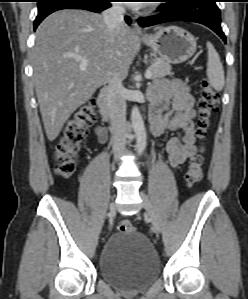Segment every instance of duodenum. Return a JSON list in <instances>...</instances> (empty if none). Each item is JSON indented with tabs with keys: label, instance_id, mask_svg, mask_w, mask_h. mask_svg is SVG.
<instances>
[{
	"label": "duodenum",
	"instance_id": "410a0bca",
	"mask_svg": "<svg viewBox=\"0 0 248 299\" xmlns=\"http://www.w3.org/2000/svg\"><path fill=\"white\" fill-rule=\"evenodd\" d=\"M97 103L100 109L101 117L104 121H109L113 115V105L111 99V90L109 86L101 89Z\"/></svg>",
	"mask_w": 248,
	"mask_h": 299
}]
</instances>
